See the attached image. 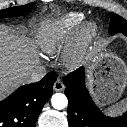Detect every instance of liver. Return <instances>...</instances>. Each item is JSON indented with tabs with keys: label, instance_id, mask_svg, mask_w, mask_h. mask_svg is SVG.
Masks as SVG:
<instances>
[{
	"label": "liver",
	"instance_id": "1",
	"mask_svg": "<svg viewBox=\"0 0 127 127\" xmlns=\"http://www.w3.org/2000/svg\"><path fill=\"white\" fill-rule=\"evenodd\" d=\"M38 62L36 51L24 35L0 25V100L28 83V75Z\"/></svg>",
	"mask_w": 127,
	"mask_h": 127
}]
</instances>
